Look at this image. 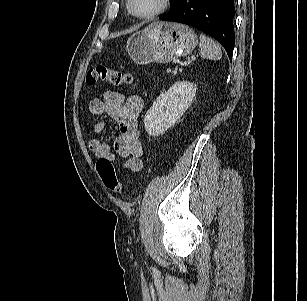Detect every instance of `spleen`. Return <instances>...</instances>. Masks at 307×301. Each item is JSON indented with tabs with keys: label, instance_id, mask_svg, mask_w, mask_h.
Segmentation results:
<instances>
[{
	"label": "spleen",
	"instance_id": "3e777b00",
	"mask_svg": "<svg viewBox=\"0 0 307 301\" xmlns=\"http://www.w3.org/2000/svg\"><path fill=\"white\" fill-rule=\"evenodd\" d=\"M200 56L205 59L220 60L222 51L219 45L206 35H200Z\"/></svg>",
	"mask_w": 307,
	"mask_h": 301
}]
</instances>
